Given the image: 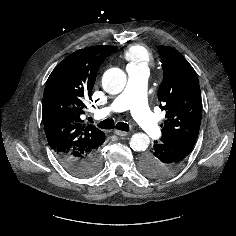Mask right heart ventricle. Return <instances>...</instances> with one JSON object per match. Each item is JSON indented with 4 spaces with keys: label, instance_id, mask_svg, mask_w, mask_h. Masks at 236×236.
Segmentation results:
<instances>
[{
    "label": "right heart ventricle",
    "instance_id": "right-heart-ventricle-1",
    "mask_svg": "<svg viewBox=\"0 0 236 236\" xmlns=\"http://www.w3.org/2000/svg\"><path fill=\"white\" fill-rule=\"evenodd\" d=\"M123 57L128 62L127 67H148L153 63L151 52L145 46L139 44L128 47L124 51Z\"/></svg>",
    "mask_w": 236,
    "mask_h": 236
}]
</instances>
